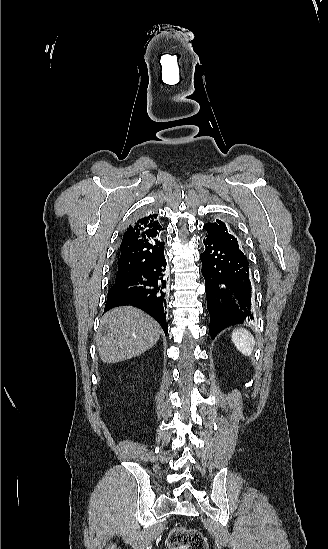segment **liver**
<instances>
[{"label":"liver","instance_id":"obj_1","mask_svg":"<svg viewBox=\"0 0 328 549\" xmlns=\"http://www.w3.org/2000/svg\"><path fill=\"white\" fill-rule=\"evenodd\" d=\"M160 325L136 307H115L100 321L96 335L98 353L103 363H119L142 355L156 345Z\"/></svg>","mask_w":328,"mask_h":549}]
</instances>
